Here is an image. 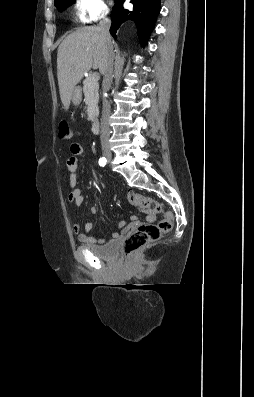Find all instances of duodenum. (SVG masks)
I'll list each match as a JSON object with an SVG mask.
<instances>
[{
  "label": "duodenum",
  "mask_w": 254,
  "mask_h": 397,
  "mask_svg": "<svg viewBox=\"0 0 254 397\" xmlns=\"http://www.w3.org/2000/svg\"><path fill=\"white\" fill-rule=\"evenodd\" d=\"M99 130H100V123H99L98 120H94V121L92 122V124H91V131H92L94 134H97V133H99Z\"/></svg>",
  "instance_id": "1"
}]
</instances>
